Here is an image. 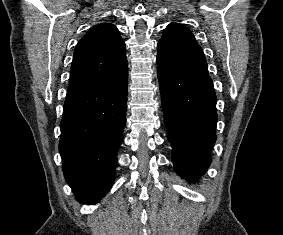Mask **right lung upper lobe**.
I'll use <instances>...</instances> for the list:
<instances>
[{
  "mask_svg": "<svg viewBox=\"0 0 283 235\" xmlns=\"http://www.w3.org/2000/svg\"><path fill=\"white\" fill-rule=\"evenodd\" d=\"M127 69L125 43L118 29L101 23L90 29L75 48L68 90L114 78Z\"/></svg>",
  "mask_w": 283,
  "mask_h": 235,
  "instance_id": "right-lung-upper-lobe-1",
  "label": "right lung upper lobe"
}]
</instances>
